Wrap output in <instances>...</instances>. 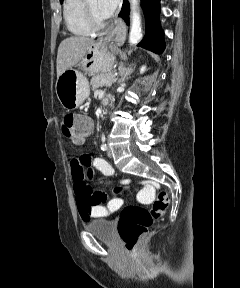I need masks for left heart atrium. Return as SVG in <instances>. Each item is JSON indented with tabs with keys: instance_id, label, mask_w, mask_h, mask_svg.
<instances>
[{
	"instance_id": "1",
	"label": "left heart atrium",
	"mask_w": 240,
	"mask_h": 288,
	"mask_svg": "<svg viewBox=\"0 0 240 288\" xmlns=\"http://www.w3.org/2000/svg\"><path fill=\"white\" fill-rule=\"evenodd\" d=\"M120 0H97V8L104 18L110 17L117 8Z\"/></svg>"
}]
</instances>
